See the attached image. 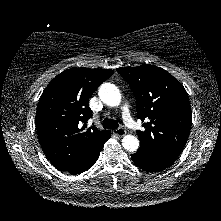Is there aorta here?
<instances>
[{
	"label": "aorta",
	"mask_w": 221,
	"mask_h": 221,
	"mask_svg": "<svg viewBox=\"0 0 221 221\" xmlns=\"http://www.w3.org/2000/svg\"><path fill=\"white\" fill-rule=\"evenodd\" d=\"M99 97L103 103L111 107L118 106L121 102L119 89L111 83H104L100 86ZM122 145L125 150L134 152L139 148V140L133 135H126L122 139Z\"/></svg>",
	"instance_id": "obj_1"
}]
</instances>
